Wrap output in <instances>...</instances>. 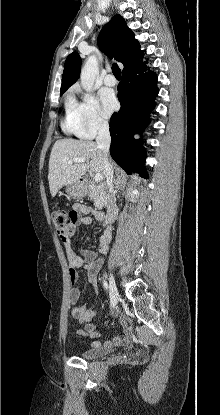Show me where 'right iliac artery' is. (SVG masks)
<instances>
[{"label":"right iliac artery","mask_w":220,"mask_h":415,"mask_svg":"<svg viewBox=\"0 0 220 415\" xmlns=\"http://www.w3.org/2000/svg\"><path fill=\"white\" fill-rule=\"evenodd\" d=\"M103 285H104V288L106 289V290H108V284H107V282L104 280L103 281Z\"/></svg>","instance_id":"obj_1"}]
</instances>
